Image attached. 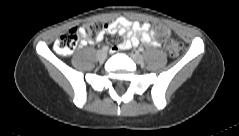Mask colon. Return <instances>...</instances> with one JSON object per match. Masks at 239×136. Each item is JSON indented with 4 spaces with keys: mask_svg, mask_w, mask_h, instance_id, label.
<instances>
[{
    "mask_svg": "<svg viewBox=\"0 0 239 136\" xmlns=\"http://www.w3.org/2000/svg\"><path fill=\"white\" fill-rule=\"evenodd\" d=\"M105 28V25L98 21L85 22L81 27H74L61 34L54 44V49L61 55L70 54L78 45L82 35L95 39ZM155 30L163 39L168 54L172 57L178 56L183 48L181 42L169 37V30L162 24H157Z\"/></svg>",
    "mask_w": 239,
    "mask_h": 136,
    "instance_id": "5ec220e1",
    "label": "colon"
}]
</instances>
